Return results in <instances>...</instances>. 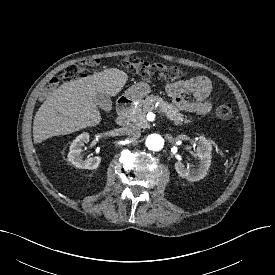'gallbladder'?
Returning a JSON list of instances; mask_svg holds the SVG:
<instances>
[{"mask_svg": "<svg viewBox=\"0 0 275 275\" xmlns=\"http://www.w3.org/2000/svg\"><path fill=\"white\" fill-rule=\"evenodd\" d=\"M97 105L105 112H110L112 109V101L110 96L105 93H97L95 96Z\"/></svg>", "mask_w": 275, "mask_h": 275, "instance_id": "obj_1", "label": "gallbladder"}]
</instances>
